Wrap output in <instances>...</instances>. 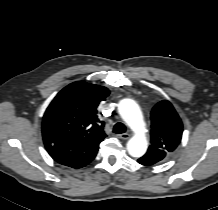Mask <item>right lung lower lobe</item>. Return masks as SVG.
Wrapping results in <instances>:
<instances>
[{"label":"right lung lower lobe","instance_id":"right-lung-lower-lobe-1","mask_svg":"<svg viewBox=\"0 0 218 210\" xmlns=\"http://www.w3.org/2000/svg\"><path fill=\"white\" fill-rule=\"evenodd\" d=\"M43 140L48 153L56 162L72 168L89 164L95 158L101 142L81 144L56 136L43 137Z\"/></svg>","mask_w":218,"mask_h":210}]
</instances>
